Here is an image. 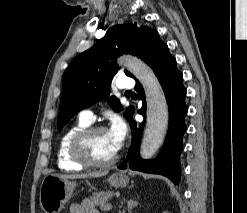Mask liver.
Listing matches in <instances>:
<instances>
[{
	"mask_svg": "<svg viewBox=\"0 0 247 213\" xmlns=\"http://www.w3.org/2000/svg\"><path fill=\"white\" fill-rule=\"evenodd\" d=\"M107 171H97V172H90L85 174H56L54 176L63 178V179H81V178H98L107 175Z\"/></svg>",
	"mask_w": 247,
	"mask_h": 213,
	"instance_id": "liver-1",
	"label": "liver"
}]
</instances>
